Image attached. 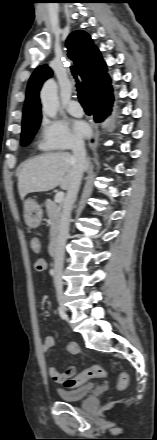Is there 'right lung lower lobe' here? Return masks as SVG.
Instances as JSON below:
<instances>
[{"label": "right lung lower lobe", "mask_w": 157, "mask_h": 440, "mask_svg": "<svg viewBox=\"0 0 157 440\" xmlns=\"http://www.w3.org/2000/svg\"><path fill=\"white\" fill-rule=\"evenodd\" d=\"M94 103V119L96 122L103 121L110 113L113 104V94L105 96L102 99L93 101Z\"/></svg>", "instance_id": "1"}]
</instances>
